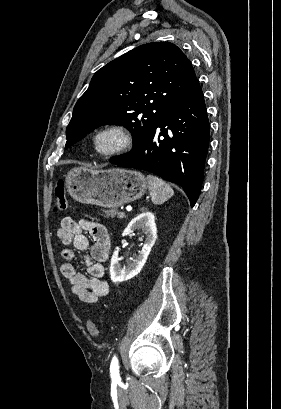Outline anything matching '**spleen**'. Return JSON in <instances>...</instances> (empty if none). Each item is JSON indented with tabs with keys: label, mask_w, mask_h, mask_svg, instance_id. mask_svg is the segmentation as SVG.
<instances>
[{
	"label": "spleen",
	"mask_w": 281,
	"mask_h": 409,
	"mask_svg": "<svg viewBox=\"0 0 281 409\" xmlns=\"http://www.w3.org/2000/svg\"><path fill=\"white\" fill-rule=\"evenodd\" d=\"M147 180L153 205H163L165 200H168V198L173 196V188H171L170 184L164 182L162 178L153 176V174H147Z\"/></svg>",
	"instance_id": "spleen-1"
}]
</instances>
